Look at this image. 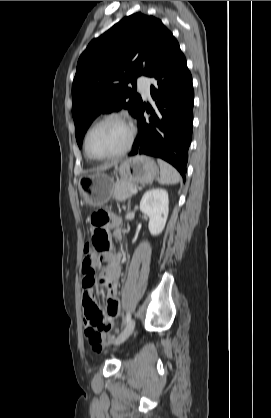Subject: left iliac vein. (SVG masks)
<instances>
[{"mask_svg":"<svg viewBox=\"0 0 271 418\" xmlns=\"http://www.w3.org/2000/svg\"><path fill=\"white\" fill-rule=\"evenodd\" d=\"M135 327V321L132 319L129 321V323L126 325V327L122 330V332L119 334L117 339L115 340V345H119L122 342H124L133 332Z\"/></svg>","mask_w":271,"mask_h":418,"instance_id":"1","label":"left iliac vein"}]
</instances>
